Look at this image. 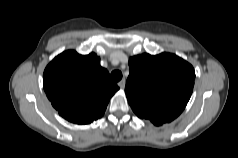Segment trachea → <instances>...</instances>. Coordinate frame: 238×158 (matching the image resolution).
<instances>
[{"label":"trachea","instance_id":"3493384b","mask_svg":"<svg viewBox=\"0 0 238 158\" xmlns=\"http://www.w3.org/2000/svg\"><path fill=\"white\" fill-rule=\"evenodd\" d=\"M111 78L113 81L115 82H118L122 79V72L119 71V70H114L112 73H111Z\"/></svg>","mask_w":238,"mask_h":158}]
</instances>
